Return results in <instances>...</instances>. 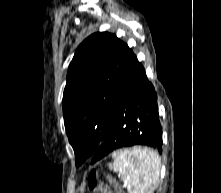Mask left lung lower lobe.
Masks as SVG:
<instances>
[{"label": "left lung lower lobe", "instance_id": "obj_1", "mask_svg": "<svg viewBox=\"0 0 221 193\" xmlns=\"http://www.w3.org/2000/svg\"><path fill=\"white\" fill-rule=\"evenodd\" d=\"M162 144L157 95L135 56L119 88L113 126L93 154L92 164L117 149L134 145L162 153Z\"/></svg>", "mask_w": 221, "mask_h": 193}]
</instances>
